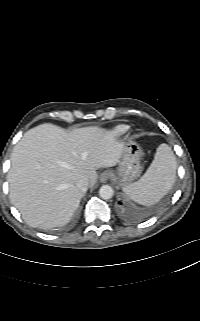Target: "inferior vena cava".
I'll return each mask as SVG.
<instances>
[{"label":"inferior vena cava","mask_w":200,"mask_h":321,"mask_svg":"<svg viewBox=\"0 0 200 321\" xmlns=\"http://www.w3.org/2000/svg\"><path fill=\"white\" fill-rule=\"evenodd\" d=\"M76 186L85 192L88 189V181L86 179H81L77 182Z\"/></svg>","instance_id":"obj_1"}]
</instances>
